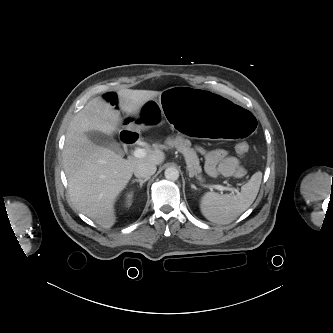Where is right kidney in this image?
I'll use <instances>...</instances> for the list:
<instances>
[{"instance_id":"ca27d5eb","label":"right kidney","mask_w":333,"mask_h":333,"mask_svg":"<svg viewBox=\"0 0 333 333\" xmlns=\"http://www.w3.org/2000/svg\"><path fill=\"white\" fill-rule=\"evenodd\" d=\"M131 199H132V194H127V197H126V202L128 203V204H130V202H131Z\"/></svg>"}]
</instances>
